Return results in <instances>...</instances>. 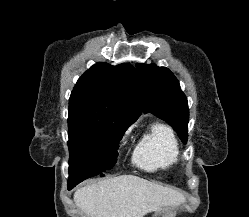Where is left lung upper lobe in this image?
I'll use <instances>...</instances> for the list:
<instances>
[{"instance_id":"obj_1","label":"left lung upper lobe","mask_w":249,"mask_h":217,"mask_svg":"<svg viewBox=\"0 0 249 217\" xmlns=\"http://www.w3.org/2000/svg\"><path fill=\"white\" fill-rule=\"evenodd\" d=\"M135 71L141 84L144 112H151L169 123L186 144L189 112L179 81L168 68L155 64H137Z\"/></svg>"}]
</instances>
